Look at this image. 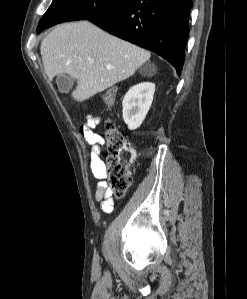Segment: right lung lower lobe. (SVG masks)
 Masks as SVG:
<instances>
[{
	"instance_id": "98d812e1",
	"label": "right lung lower lobe",
	"mask_w": 247,
	"mask_h": 299,
	"mask_svg": "<svg viewBox=\"0 0 247 299\" xmlns=\"http://www.w3.org/2000/svg\"><path fill=\"white\" fill-rule=\"evenodd\" d=\"M192 0H128L89 21L166 59L178 74L184 65Z\"/></svg>"
}]
</instances>
